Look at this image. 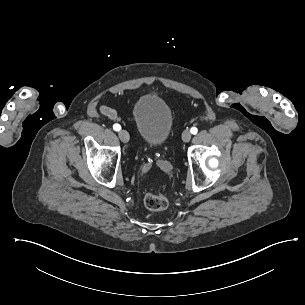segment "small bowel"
<instances>
[{"label":"small bowel","instance_id":"obj_1","mask_svg":"<svg viewBox=\"0 0 305 305\" xmlns=\"http://www.w3.org/2000/svg\"><path fill=\"white\" fill-rule=\"evenodd\" d=\"M100 112L102 113V115H104L110 119H116L118 117L116 110L111 108L110 105L108 104V102L101 105Z\"/></svg>","mask_w":305,"mask_h":305}]
</instances>
